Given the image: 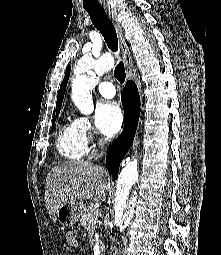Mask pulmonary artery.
Segmentation results:
<instances>
[{
    "instance_id": "obj_1",
    "label": "pulmonary artery",
    "mask_w": 221,
    "mask_h": 255,
    "mask_svg": "<svg viewBox=\"0 0 221 255\" xmlns=\"http://www.w3.org/2000/svg\"><path fill=\"white\" fill-rule=\"evenodd\" d=\"M99 93L105 98H113L116 94L114 85L109 81H103L98 85Z\"/></svg>"
}]
</instances>
